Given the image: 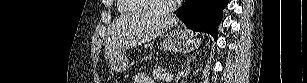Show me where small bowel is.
I'll use <instances>...</instances> for the list:
<instances>
[{"instance_id":"c3829d8e","label":"small bowel","mask_w":307,"mask_h":83,"mask_svg":"<svg viewBox=\"0 0 307 83\" xmlns=\"http://www.w3.org/2000/svg\"><path fill=\"white\" fill-rule=\"evenodd\" d=\"M154 81L146 74L140 73L135 76V83H153Z\"/></svg>"}]
</instances>
